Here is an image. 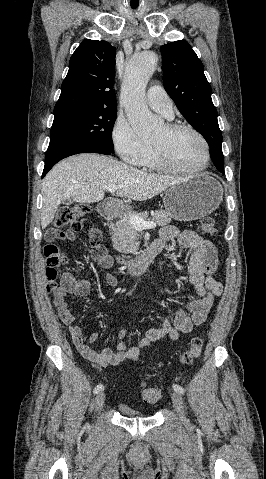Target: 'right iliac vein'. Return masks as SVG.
I'll return each instance as SVG.
<instances>
[{
    "mask_svg": "<svg viewBox=\"0 0 266 479\" xmlns=\"http://www.w3.org/2000/svg\"><path fill=\"white\" fill-rule=\"evenodd\" d=\"M105 401V393L104 392H99L95 398V408L96 410H99Z\"/></svg>",
    "mask_w": 266,
    "mask_h": 479,
    "instance_id": "63e3f726",
    "label": "right iliac vein"
}]
</instances>
